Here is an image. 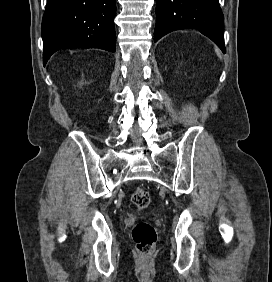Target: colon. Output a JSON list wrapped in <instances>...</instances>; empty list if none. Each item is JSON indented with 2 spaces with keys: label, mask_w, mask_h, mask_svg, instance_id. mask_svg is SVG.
<instances>
[{
  "label": "colon",
  "mask_w": 272,
  "mask_h": 282,
  "mask_svg": "<svg viewBox=\"0 0 272 282\" xmlns=\"http://www.w3.org/2000/svg\"><path fill=\"white\" fill-rule=\"evenodd\" d=\"M132 203L139 209L149 204L148 192L141 188H135L132 196ZM132 238L139 253L144 257H150L154 251L157 234L154 227L147 221H139L132 230Z\"/></svg>",
  "instance_id": "obj_1"
}]
</instances>
